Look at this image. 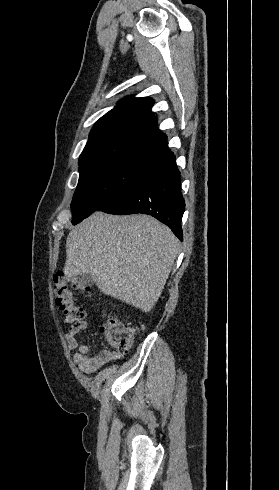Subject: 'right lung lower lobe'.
<instances>
[{"mask_svg":"<svg viewBox=\"0 0 279 490\" xmlns=\"http://www.w3.org/2000/svg\"><path fill=\"white\" fill-rule=\"evenodd\" d=\"M156 164V169L150 175L110 194L97 210L118 215H151L183 240L181 219L185 201L181 192L180 171L173 152Z\"/></svg>","mask_w":279,"mask_h":490,"instance_id":"98d812e1","label":"right lung lower lobe"}]
</instances>
